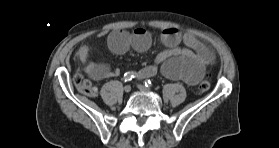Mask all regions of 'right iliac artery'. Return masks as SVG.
<instances>
[{
    "mask_svg": "<svg viewBox=\"0 0 279 148\" xmlns=\"http://www.w3.org/2000/svg\"><path fill=\"white\" fill-rule=\"evenodd\" d=\"M135 76L136 75L134 72H127L124 74V81L128 82V81L132 80Z\"/></svg>",
    "mask_w": 279,
    "mask_h": 148,
    "instance_id": "right-iliac-artery-1",
    "label": "right iliac artery"
}]
</instances>
